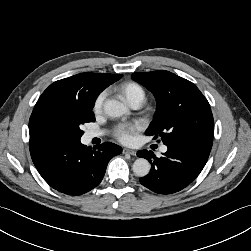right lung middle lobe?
Here are the masks:
<instances>
[{
	"label": "right lung middle lobe",
	"mask_w": 251,
	"mask_h": 251,
	"mask_svg": "<svg viewBox=\"0 0 251 251\" xmlns=\"http://www.w3.org/2000/svg\"><path fill=\"white\" fill-rule=\"evenodd\" d=\"M100 92L97 83L89 82L86 103L54 105L47 108L42 117L46 138L54 141L79 140L84 133L81 125L95 121L92 108Z\"/></svg>",
	"instance_id": "dd1d6c3e"
}]
</instances>
